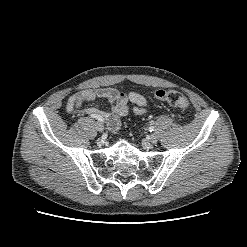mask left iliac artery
<instances>
[{
    "label": "left iliac artery",
    "mask_w": 247,
    "mask_h": 247,
    "mask_svg": "<svg viewBox=\"0 0 247 247\" xmlns=\"http://www.w3.org/2000/svg\"><path fill=\"white\" fill-rule=\"evenodd\" d=\"M149 131H151V132L154 131V127L153 126H150L149 127Z\"/></svg>",
    "instance_id": "44dca946"
}]
</instances>
